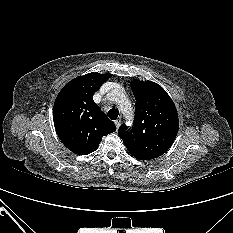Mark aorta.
I'll return each mask as SVG.
<instances>
[{
  "label": "aorta",
  "instance_id": "obj_1",
  "mask_svg": "<svg viewBox=\"0 0 233 233\" xmlns=\"http://www.w3.org/2000/svg\"><path fill=\"white\" fill-rule=\"evenodd\" d=\"M117 100H118V103H120V107L122 110H124L126 107L129 106V102L128 100L125 98V95L123 92L121 91H117Z\"/></svg>",
  "mask_w": 233,
  "mask_h": 233
}]
</instances>
